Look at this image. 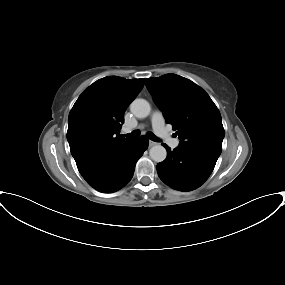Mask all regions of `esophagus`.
I'll return each instance as SVG.
<instances>
[{"instance_id": "1", "label": "esophagus", "mask_w": 285, "mask_h": 285, "mask_svg": "<svg viewBox=\"0 0 285 285\" xmlns=\"http://www.w3.org/2000/svg\"><path fill=\"white\" fill-rule=\"evenodd\" d=\"M155 145H157L156 142H154V141H149V147H152V146H155Z\"/></svg>"}]
</instances>
